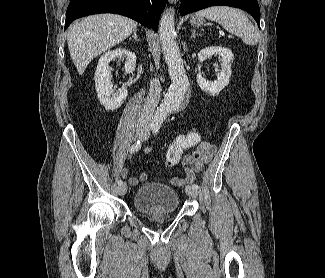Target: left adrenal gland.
<instances>
[{"label":"left adrenal gland","instance_id":"1","mask_svg":"<svg viewBox=\"0 0 325 278\" xmlns=\"http://www.w3.org/2000/svg\"><path fill=\"white\" fill-rule=\"evenodd\" d=\"M196 36H200V34H197L195 29L192 30V35H191V38H194Z\"/></svg>","mask_w":325,"mask_h":278}]
</instances>
